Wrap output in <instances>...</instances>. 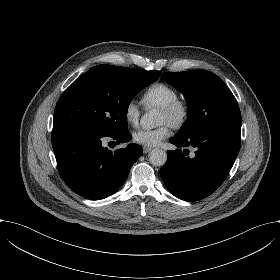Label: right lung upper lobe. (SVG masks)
I'll use <instances>...</instances> for the list:
<instances>
[{"label":"right lung upper lobe","mask_w":280,"mask_h":280,"mask_svg":"<svg viewBox=\"0 0 280 280\" xmlns=\"http://www.w3.org/2000/svg\"><path fill=\"white\" fill-rule=\"evenodd\" d=\"M154 71L157 72L158 76H160L161 73L159 71H156V70H154Z\"/></svg>","instance_id":"obj_1"}]
</instances>
